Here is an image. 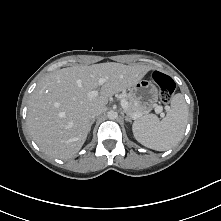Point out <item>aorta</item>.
<instances>
[{"label":"aorta","mask_w":221,"mask_h":221,"mask_svg":"<svg viewBox=\"0 0 221 221\" xmlns=\"http://www.w3.org/2000/svg\"><path fill=\"white\" fill-rule=\"evenodd\" d=\"M107 116L110 120H114L118 117V113L116 111L111 110L107 113Z\"/></svg>","instance_id":"obj_1"}]
</instances>
